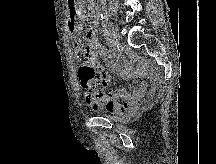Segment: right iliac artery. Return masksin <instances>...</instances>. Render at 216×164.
Here are the masks:
<instances>
[{
    "label": "right iliac artery",
    "instance_id": "obj_1",
    "mask_svg": "<svg viewBox=\"0 0 216 164\" xmlns=\"http://www.w3.org/2000/svg\"><path fill=\"white\" fill-rule=\"evenodd\" d=\"M105 40H106V43H107V45H108L109 47H112V46L114 45V42H113V40L111 39V37H110V35H109L108 32L105 34Z\"/></svg>",
    "mask_w": 216,
    "mask_h": 164
}]
</instances>
